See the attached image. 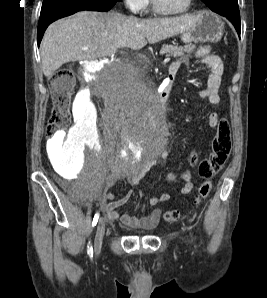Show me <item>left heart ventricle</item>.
I'll list each match as a JSON object with an SVG mask.
<instances>
[{"mask_svg":"<svg viewBox=\"0 0 267 298\" xmlns=\"http://www.w3.org/2000/svg\"><path fill=\"white\" fill-rule=\"evenodd\" d=\"M160 6L170 12H178L184 9L188 0H158Z\"/></svg>","mask_w":267,"mask_h":298,"instance_id":"b2bd125f","label":"left heart ventricle"}]
</instances>
